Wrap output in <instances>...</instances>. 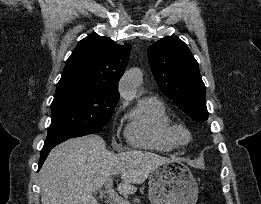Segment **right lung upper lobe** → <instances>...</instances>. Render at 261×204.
I'll return each instance as SVG.
<instances>
[{"label":"right lung upper lobe","mask_w":261,"mask_h":204,"mask_svg":"<svg viewBox=\"0 0 261 204\" xmlns=\"http://www.w3.org/2000/svg\"><path fill=\"white\" fill-rule=\"evenodd\" d=\"M130 45L108 37L89 35L81 40L66 61L55 95L92 91L119 99L118 82L128 64Z\"/></svg>","instance_id":"cb5924a9"}]
</instances>
